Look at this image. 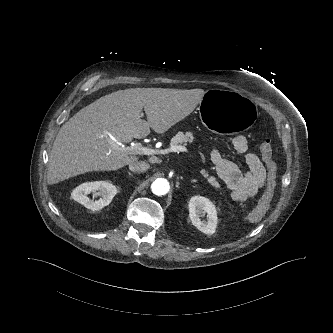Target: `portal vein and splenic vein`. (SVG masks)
Wrapping results in <instances>:
<instances>
[{
    "mask_svg": "<svg viewBox=\"0 0 333 333\" xmlns=\"http://www.w3.org/2000/svg\"><path fill=\"white\" fill-rule=\"evenodd\" d=\"M114 149L127 155H153V154H167L169 152H188L185 146L176 145L166 150H158L150 147H144L141 143H135L131 146L125 147L122 144L114 146Z\"/></svg>",
    "mask_w": 333,
    "mask_h": 333,
    "instance_id": "18ae733b",
    "label": "portal vein and splenic vein"
}]
</instances>
